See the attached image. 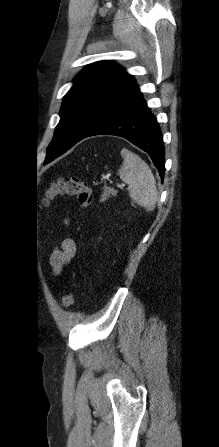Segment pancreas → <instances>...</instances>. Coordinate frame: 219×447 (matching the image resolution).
<instances>
[{
    "label": "pancreas",
    "instance_id": "1",
    "mask_svg": "<svg viewBox=\"0 0 219 447\" xmlns=\"http://www.w3.org/2000/svg\"><path fill=\"white\" fill-rule=\"evenodd\" d=\"M117 191L111 187L104 186L102 195L100 197V201H106L108 198L112 196H116Z\"/></svg>",
    "mask_w": 219,
    "mask_h": 447
}]
</instances>
